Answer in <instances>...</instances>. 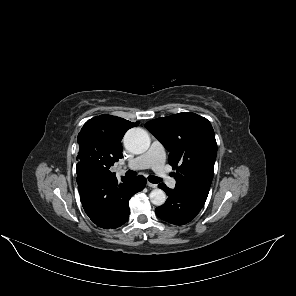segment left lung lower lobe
I'll use <instances>...</instances> for the list:
<instances>
[{"instance_id": "1", "label": "left lung lower lobe", "mask_w": 296, "mask_h": 296, "mask_svg": "<svg viewBox=\"0 0 296 296\" xmlns=\"http://www.w3.org/2000/svg\"><path fill=\"white\" fill-rule=\"evenodd\" d=\"M169 198L166 202L156 208V214L162 220L183 225L196 217L205 204L209 190L204 189H181L175 187L169 189L165 184L158 185Z\"/></svg>"}]
</instances>
